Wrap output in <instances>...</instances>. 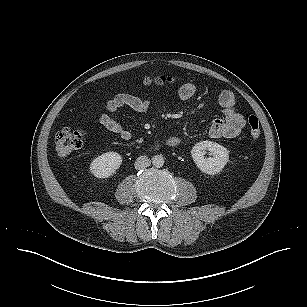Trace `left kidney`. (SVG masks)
Returning a JSON list of instances; mask_svg holds the SVG:
<instances>
[{"label": "left kidney", "mask_w": 307, "mask_h": 307, "mask_svg": "<svg viewBox=\"0 0 307 307\" xmlns=\"http://www.w3.org/2000/svg\"><path fill=\"white\" fill-rule=\"evenodd\" d=\"M207 151L212 157H204ZM191 155L197 167L209 175L220 173L229 160L227 148L207 140L196 143L191 150Z\"/></svg>", "instance_id": "obj_1"}]
</instances>
